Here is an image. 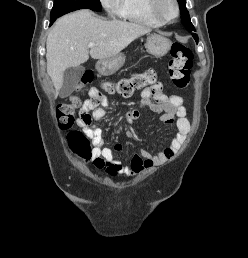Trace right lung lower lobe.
I'll return each instance as SVG.
<instances>
[{
	"mask_svg": "<svg viewBox=\"0 0 248 258\" xmlns=\"http://www.w3.org/2000/svg\"><path fill=\"white\" fill-rule=\"evenodd\" d=\"M55 20H53V21H50V25L54 22Z\"/></svg>",
	"mask_w": 248,
	"mask_h": 258,
	"instance_id": "obj_1",
	"label": "right lung lower lobe"
}]
</instances>
